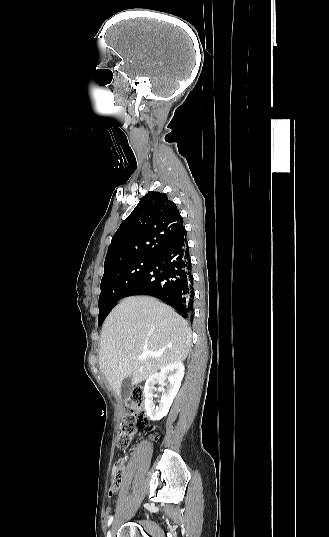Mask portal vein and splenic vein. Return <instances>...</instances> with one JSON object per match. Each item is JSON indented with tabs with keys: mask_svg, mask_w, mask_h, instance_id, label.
<instances>
[{
	"mask_svg": "<svg viewBox=\"0 0 329 537\" xmlns=\"http://www.w3.org/2000/svg\"><path fill=\"white\" fill-rule=\"evenodd\" d=\"M147 356H157V355L151 352H146L145 354L139 355L138 359L140 361H144Z\"/></svg>",
	"mask_w": 329,
	"mask_h": 537,
	"instance_id": "obj_1",
	"label": "portal vein and splenic vein"
}]
</instances>
